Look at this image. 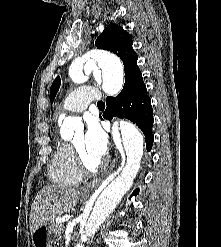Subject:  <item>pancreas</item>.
<instances>
[{
    "instance_id": "obj_1",
    "label": "pancreas",
    "mask_w": 221,
    "mask_h": 247,
    "mask_svg": "<svg viewBox=\"0 0 221 247\" xmlns=\"http://www.w3.org/2000/svg\"><path fill=\"white\" fill-rule=\"evenodd\" d=\"M54 235L61 241V234L63 233L65 226L63 224L52 223Z\"/></svg>"
}]
</instances>
